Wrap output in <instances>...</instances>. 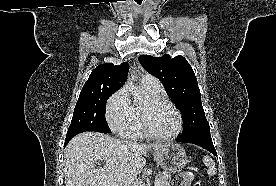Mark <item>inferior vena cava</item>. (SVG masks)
<instances>
[{
	"label": "inferior vena cava",
	"instance_id": "obj_1",
	"mask_svg": "<svg viewBox=\"0 0 276 186\" xmlns=\"http://www.w3.org/2000/svg\"><path fill=\"white\" fill-rule=\"evenodd\" d=\"M136 183H137V178L132 180L131 186H137Z\"/></svg>",
	"mask_w": 276,
	"mask_h": 186
}]
</instances>
